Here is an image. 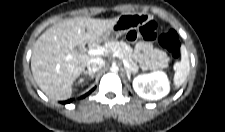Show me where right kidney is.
Returning <instances> with one entry per match:
<instances>
[{
	"label": "right kidney",
	"mask_w": 225,
	"mask_h": 132,
	"mask_svg": "<svg viewBox=\"0 0 225 132\" xmlns=\"http://www.w3.org/2000/svg\"><path fill=\"white\" fill-rule=\"evenodd\" d=\"M83 81H84V80H83V79H81V80H80V83H82Z\"/></svg>",
	"instance_id": "1"
}]
</instances>
